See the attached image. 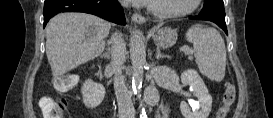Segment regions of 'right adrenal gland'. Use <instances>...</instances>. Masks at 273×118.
<instances>
[{"instance_id": "1", "label": "right adrenal gland", "mask_w": 273, "mask_h": 118, "mask_svg": "<svg viewBox=\"0 0 273 118\" xmlns=\"http://www.w3.org/2000/svg\"><path fill=\"white\" fill-rule=\"evenodd\" d=\"M102 57H103L104 59H107V60L110 59V48H109V47L106 49V52L103 54Z\"/></svg>"}]
</instances>
